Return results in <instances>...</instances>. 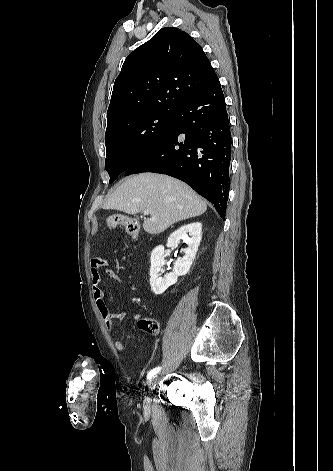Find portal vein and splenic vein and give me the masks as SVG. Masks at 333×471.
Masks as SVG:
<instances>
[{"mask_svg":"<svg viewBox=\"0 0 333 471\" xmlns=\"http://www.w3.org/2000/svg\"><path fill=\"white\" fill-rule=\"evenodd\" d=\"M145 215H148L149 214V211L148 210H144L143 211Z\"/></svg>","mask_w":333,"mask_h":471,"instance_id":"obj_1","label":"portal vein and splenic vein"}]
</instances>
